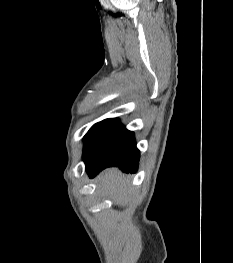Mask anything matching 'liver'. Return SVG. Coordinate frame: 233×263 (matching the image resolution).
I'll list each match as a JSON object with an SVG mask.
<instances>
[{
	"label": "liver",
	"mask_w": 233,
	"mask_h": 263,
	"mask_svg": "<svg viewBox=\"0 0 233 263\" xmlns=\"http://www.w3.org/2000/svg\"><path fill=\"white\" fill-rule=\"evenodd\" d=\"M98 187L104 195L114 199L119 205L128 200L132 191L126 177L114 168L102 172L98 178Z\"/></svg>",
	"instance_id": "obj_1"
}]
</instances>
